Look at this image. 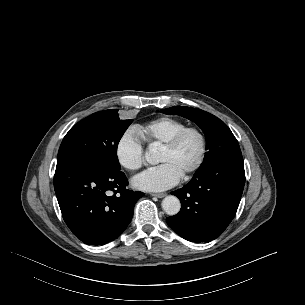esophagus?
Returning a JSON list of instances; mask_svg holds the SVG:
<instances>
[{
    "label": "esophagus",
    "mask_w": 305,
    "mask_h": 305,
    "mask_svg": "<svg viewBox=\"0 0 305 305\" xmlns=\"http://www.w3.org/2000/svg\"><path fill=\"white\" fill-rule=\"evenodd\" d=\"M167 194L166 193H152L151 196L153 197H157V198H163L165 197Z\"/></svg>",
    "instance_id": "1"
}]
</instances>
